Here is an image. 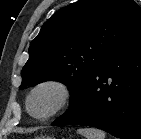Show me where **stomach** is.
Masks as SVG:
<instances>
[{
	"label": "stomach",
	"instance_id": "obj_1",
	"mask_svg": "<svg viewBox=\"0 0 141 139\" xmlns=\"http://www.w3.org/2000/svg\"><path fill=\"white\" fill-rule=\"evenodd\" d=\"M37 139H52V138H50V137H41V138H37Z\"/></svg>",
	"mask_w": 141,
	"mask_h": 139
}]
</instances>
